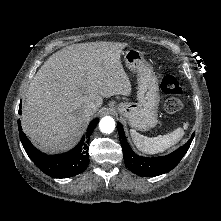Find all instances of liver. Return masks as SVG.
<instances>
[{
    "label": "liver",
    "instance_id": "obj_1",
    "mask_svg": "<svg viewBox=\"0 0 221 221\" xmlns=\"http://www.w3.org/2000/svg\"><path fill=\"white\" fill-rule=\"evenodd\" d=\"M127 43L67 46L41 66L29 84L21 116L24 133L41 150L68 149L90 116L84 106L113 95L129 96L131 82L121 63Z\"/></svg>",
    "mask_w": 221,
    "mask_h": 221
}]
</instances>
